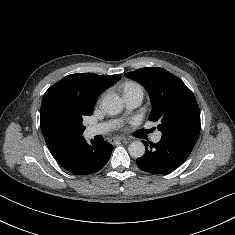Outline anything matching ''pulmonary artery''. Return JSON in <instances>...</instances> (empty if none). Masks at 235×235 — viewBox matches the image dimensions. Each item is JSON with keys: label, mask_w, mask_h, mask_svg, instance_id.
Here are the masks:
<instances>
[{"label": "pulmonary artery", "mask_w": 235, "mask_h": 235, "mask_svg": "<svg viewBox=\"0 0 235 235\" xmlns=\"http://www.w3.org/2000/svg\"><path fill=\"white\" fill-rule=\"evenodd\" d=\"M123 98L128 110L135 109L138 107L144 98V91L142 87L136 85L129 88H126L123 92ZM118 120H111L103 123H98L94 125H90L86 128V135L88 137H94L99 134H104L118 125ZM161 140V132H156L152 136V141L154 143H158Z\"/></svg>", "instance_id": "pulmonary-artery-1"}]
</instances>
